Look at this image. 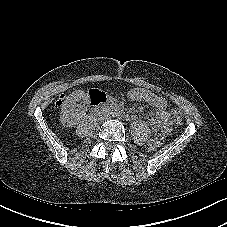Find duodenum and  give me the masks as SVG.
I'll list each match as a JSON object with an SVG mask.
<instances>
[{
	"label": "duodenum",
	"mask_w": 227,
	"mask_h": 227,
	"mask_svg": "<svg viewBox=\"0 0 227 227\" xmlns=\"http://www.w3.org/2000/svg\"><path fill=\"white\" fill-rule=\"evenodd\" d=\"M90 103L93 107H99V106L105 105V104H110L114 107L116 106L115 101L108 98L106 95H104L102 97H98V98H93V99L90 100ZM114 111H115L116 114H118V115L121 114V116H123L126 119L132 120V119L135 118V116L133 114H130V113L123 111L122 108L119 107V106L116 107Z\"/></svg>",
	"instance_id": "410a0bca"
}]
</instances>
